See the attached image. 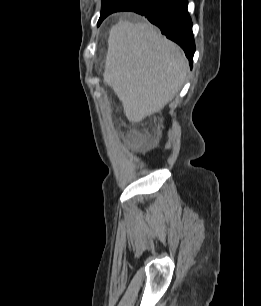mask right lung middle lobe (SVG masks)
Masks as SVG:
<instances>
[{
  "instance_id": "right-lung-middle-lobe-1",
  "label": "right lung middle lobe",
  "mask_w": 261,
  "mask_h": 306,
  "mask_svg": "<svg viewBox=\"0 0 261 306\" xmlns=\"http://www.w3.org/2000/svg\"><path fill=\"white\" fill-rule=\"evenodd\" d=\"M129 1L130 0H109V1H103L102 2V9H101L100 17H103L107 13L112 12V11L120 8L121 6H123L124 4H126Z\"/></svg>"
}]
</instances>
